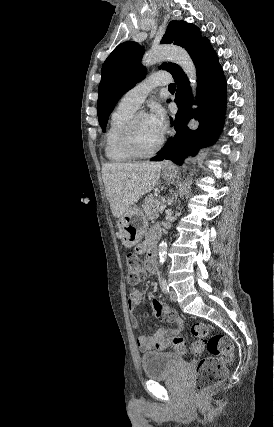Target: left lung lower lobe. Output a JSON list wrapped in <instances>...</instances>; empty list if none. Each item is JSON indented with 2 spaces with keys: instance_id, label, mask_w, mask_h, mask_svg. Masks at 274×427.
I'll return each mask as SVG.
<instances>
[{
  "instance_id": "0a47b994",
  "label": "left lung lower lobe",
  "mask_w": 274,
  "mask_h": 427,
  "mask_svg": "<svg viewBox=\"0 0 274 427\" xmlns=\"http://www.w3.org/2000/svg\"><path fill=\"white\" fill-rule=\"evenodd\" d=\"M197 71L198 109H191V89L185 73L179 70L173 75L178 84L175 103L178 112L172 125L175 136L168 140L151 161L170 159L181 165L189 152L196 154L199 148L213 143L223 126L226 108V81L217 55L208 39L199 42L190 54ZM199 121V127L192 131L187 127L191 118Z\"/></svg>"
}]
</instances>
